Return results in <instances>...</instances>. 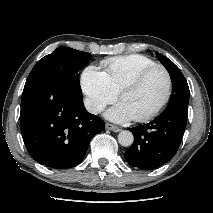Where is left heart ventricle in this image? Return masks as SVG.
I'll use <instances>...</instances> for the list:
<instances>
[{
  "mask_svg": "<svg viewBox=\"0 0 213 213\" xmlns=\"http://www.w3.org/2000/svg\"><path fill=\"white\" fill-rule=\"evenodd\" d=\"M167 89V78L163 71L148 74L135 88L121 97L133 117L142 116L154 109L163 99Z\"/></svg>",
  "mask_w": 213,
  "mask_h": 213,
  "instance_id": "b2bd125f",
  "label": "left heart ventricle"
}]
</instances>
